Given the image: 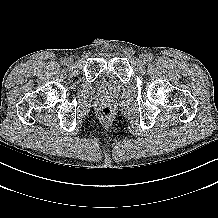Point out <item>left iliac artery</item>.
<instances>
[{"mask_svg":"<svg viewBox=\"0 0 218 218\" xmlns=\"http://www.w3.org/2000/svg\"><path fill=\"white\" fill-rule=\"evenodd\" d=\"M153 59V55L152 54H148V60H152Z\"/></svg>","mask_w":218,"mask_h":218,"instance_id":"1","label":"left iliac artery"}]
</instances>
